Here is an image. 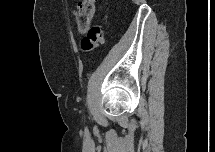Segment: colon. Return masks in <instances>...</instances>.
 <instances>
[{
  "mask_svg": "<svg viewBox=\"0 0 215 152\" xmlns=\"http://www.w3.org/2000/svg\"><path fill=\"white\" fill-rule=\"evenodd\" d=\"M94 14V2L83 0L77 6V25L81 32L88 31L86 37L81 41V48L84 52L93 51L104 41V31L101 25L89 27Z\"/></svg>",
  "mask_w": 215,
  "mask_h": 152,
  "instance_id": "obj_1",
  "label": "colon"
}]
</instances>
